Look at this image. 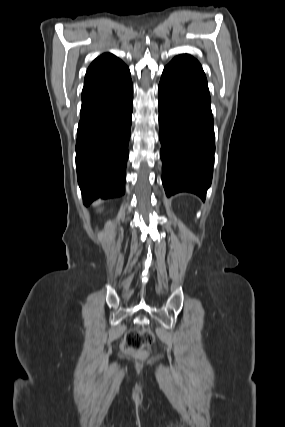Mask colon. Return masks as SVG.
Here are the masks:
<instances>
[{
    "mask_svg": "<svg viewBox=\"0 0 285 427\" xmlns=\"http://www.w3.org/2000/svg\"><path fill=\"white\" fill-rule=\"evenodd\" d=\"M154 335L151 330L143 329H132L129 330L124 338L123 348L126 351L138 353L141 356H145L148 353V349L153 343Z\"/></svg>",
    "mask_w": 285,
    "mask_h": 427,
    "instance_id": "colon-1",
    "label": "colon"
}]
</instances>
